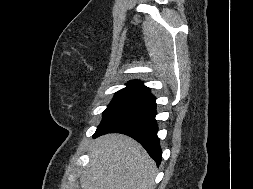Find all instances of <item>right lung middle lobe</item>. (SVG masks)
Instances as JSON below:
<instances>
[{"instance_id": "dd1d6c3e", "label": "right lung middle lobe", "mask_w": 253, "mask_h": 189, "mask_svg": "<svg viewBox=\"0 0 253 189\" xmlns=\"http://www.w3.org/2000/svg\"><path fill=\"white\" fill-rule=\"evenodd\" d=\"M147 95L146 92L131 89H122L116 92L113 100L103 112V120L114 112L143 99Z\"/></svg>"}]
</instances>
